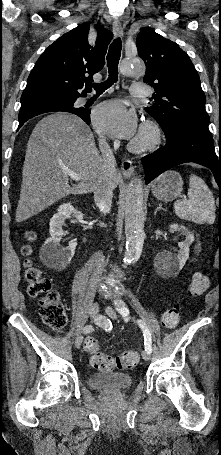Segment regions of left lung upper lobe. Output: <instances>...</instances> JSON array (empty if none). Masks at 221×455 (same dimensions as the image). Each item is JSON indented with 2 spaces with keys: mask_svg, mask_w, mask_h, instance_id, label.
<instances>
[{
  "mask_svg": "<svg viewBox=\"0 0 221 455\" xmlns=\"http://www.w3.org/2000/svg\"><path fill=\"white\" fill-rule=\"evenodd\" d=\"M136 46L146 65L143 81L155 90L154 102L145 110L160 124L165 135L171 136L185 125L208 129L206 98L188 55L175 42L152 29L139 32Z\"/></svg>",
  "mask_w": 221,
  "mask_h": 455,
  "instance_id": "5c2ea615",
  "label": "left lung upper lobe"
}]
</instances>
